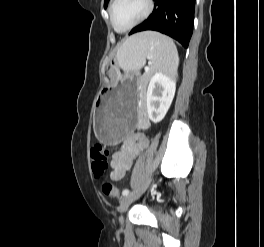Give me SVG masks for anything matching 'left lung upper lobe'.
<instances>
[{"label":"left lung upper lobe","instance_id":"1","mask_svg":"<svg viewBox=\"0 0 264 247\" xmlns=\"http://www.w3.org/2000/svg\"><path fill=\"white\" fill-rule=\"evenodd\" d=\"M108 2H109V0H104V8L107 7Z\"/></svg>","mask_w":264,"mask_h":247}]
</instances>
